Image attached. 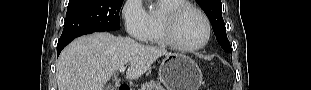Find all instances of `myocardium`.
Here are the masks:
<instances>
[{"label":"myocardium","mask_w":311,"mask_h":90,"mask_svg":"<svg viewBox=\"0 0 311 90\" xmlns=\"http://www.w3.org/2000/svg\"><path fill=\"white\" fill-rule=\"evenodd\" d=\"M186 11L196 12L203 19L206 28L204 39L193 46L181 44L175 33L179 19ZM160 27L165 44L180 52H194L204 48L208 44L212 34L211 23L207 15L201 9L189 3L181 4L163 12L160 18Z\"/></svg>","instance_id":"1"}]
</instances>
